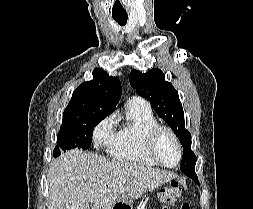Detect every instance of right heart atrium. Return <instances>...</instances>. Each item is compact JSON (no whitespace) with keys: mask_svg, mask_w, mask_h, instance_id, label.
<instances>
[{"mask_svg":"<svg viewBox=\"0 0 253 209\" xmlns=\"http://www.w3.org/2000/svg\"><path fill=\"white\" fill-rule=\"evenodd\" d=\"M92 138L94 146L98 149L111 147L115 139L112 116H106L96 124Z\"/></svg>","mask_w":253,"mask_h":209,"instance_id":"1","label":"right heart atrium"}]
</instances>
